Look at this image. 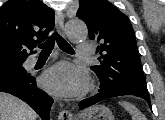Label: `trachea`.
<instances>
[{"label":"trachea","instance_id":"1","mask_svg":"<svg viewBox=\"0 0 165 120\" xmlns=\"http://www.w3.org/2000/svg\"><path fill=\"white\" fill-rule=\"evenodd\" d=\"M55 41L57 42V45L59 48L69 54H74L73 48L70 46V44L62 38L58 33H53L46 42L39 45V48L41 50V54H50L54 48Z\"/></svg>","mask_w":165,"mask_h":120}]
</instances>
